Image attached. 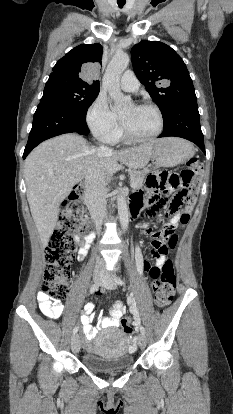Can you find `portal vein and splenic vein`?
<instances>
[{
    "mask_svg": "<svg viewBox=\"0 0 233 414\" xmlns=\"http://www.w3.org/2000/svg\"><path fill=\"white\" fill-rule=\"evenodd\" d=\"M130 186L133 188V187H134V184H133V183H131V184H130Z\"/></svg>",
    "mask_w": 233,
    "mask_h": 414,
    "instance_id": "obj_1",
    "label": "portal vein and splenic vein"
}]
</instances>
